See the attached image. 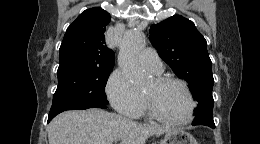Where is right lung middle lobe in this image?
I'll return each mask as SVG.
<instances>
[{
  "label": "right lung middle lobe",
  "mask_w": 260,
  "mask_h": 144,
  "mask_svg": "<svg viewBox=\"0 0 260 144\" xmlns=\"http://www.w3.org/2000/svg\"><path fill=\"white\" fill-rule=\"evenodd\" d=\"M113 68L58 69V86L49 117L74 109L107 105L105 86Z\"/></svg>",
  "instance_id": "1"
}]
</instances>
